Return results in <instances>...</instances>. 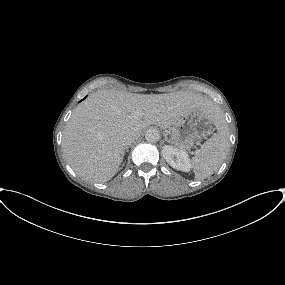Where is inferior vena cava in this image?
Instances as JSON below:
<instances>
[{
    "label": "inferior vena cava",
    "mask_w": 285,
    "mask_h": 285,
    "mask_svg": "<svg viewBox=\"0 0 285 285\" xmlns=\"http://www.w3.org/2000/svg\"><path fill=\"white\" fill-rule=\"evenodd\" d=\"M139 136V134L134 133L125 134L124 136H122L121 142L123 146L127 147L131 145V143L134 142Z\"/></svg>",
    "instance_id": "inferior-vena-cava-1"
}]
</instances>
